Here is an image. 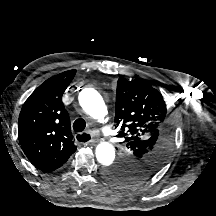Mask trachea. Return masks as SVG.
<instances>
[{
    "label": "trachea",
    "instance_id": "obj_1",
    "mask_svg": "<svg viewBox=\"0 0 216 216\" xmlns=\"http://www.w3.org/2000/svg\"><path fill=\"white\" fill-rule=\"evenodd\" d=\"M86 127V121L83 118H78L77 120H75V122L73 123V129L76 132H82L84 131ZM90 138H85L84 135L78 137V140L81 142H86L88 141Z\"/></svg>",
    "mask_w": 216,
    "mask_h": 216
}]
</instances>
